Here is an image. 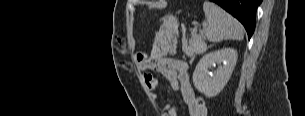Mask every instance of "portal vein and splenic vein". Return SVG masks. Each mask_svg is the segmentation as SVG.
I'll return each mask as SVG.
<instances>
[{
  "label": "portal vein and splenic vein",
  "instance_id": "obj_1",
  "mask_svg": "<svg viewBox=\"0 0 305 116\" xmlns=\"http://www.w3.org/2000/svg\"><path fill=\"white\" fill-rule=\"evenodd\" d=\"M207 26L206 23H203V27L205 28ZM193 32H196V30L194 29Z\"/></svg>",
  "mask_w": 305,
  "mask_h": 116
}]
</instances>
